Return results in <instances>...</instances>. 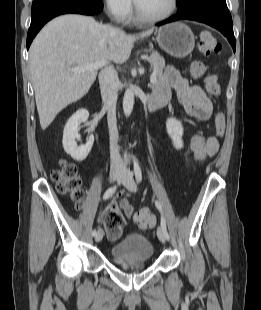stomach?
<instances>
[{"label":"stomach","instance_id":"obj_1","mask_svg":"<svg viewBox=\"0 0 261 310\" xmlns=\"http://www.w3.org/2000/svg\"><path fill=\"white\" fill-rule=\"evenodd\" d=\"M157 41L169 55L183 58L189 55L195 46V37L191 29L182 22H174L158 30Z\"/></svg>","mask_w":261,"mask_h":310}]
</instances>
